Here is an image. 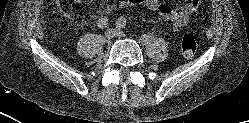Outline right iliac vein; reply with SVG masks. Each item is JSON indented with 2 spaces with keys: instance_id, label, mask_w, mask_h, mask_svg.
Returning <instances> with one entry per match:
<instances>
[{
  "instance_id": "obj_1",
  "label": "right iliac vein",
  "mask_w": 249,
  "mask_h": 123,
  "mask_svg": "<svg viewBox=\"0 0 249 123\" xmlns=\"http://www.w3.org/2000/svg\"><path fill=\"white\" fill-rule=\"evenodd\" d=\"M105 36L108 40L112 39L115 36V32L113 29H107L105 32Z\"/></svg>"
}]
</instances>
